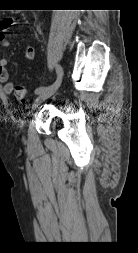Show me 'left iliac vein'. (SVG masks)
I'll use <instances>...</instances> for the list:
<instances>
[{
    "mask_svg": "<svg viewBox=\"0 0 138 253\" xmlns=\"http://www.w3.org/2000/svg\"><path fill=\"white\" fill-rule=\"evenodd\" d=\"M58 88H59V86L58 87H50L49 89L40 93L32 104V107H31L32 111L36 110L41 105V103H43L46 99L51 97L58 90Z\"/></svg>",
    "mask_w": 138,
    "mask_h": 253,
    "instance_id": "obj_1",
    "label": "left iliac vein"
}]
</instances>
